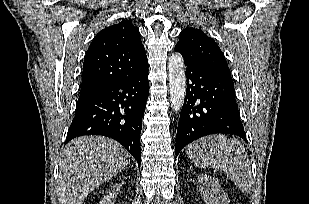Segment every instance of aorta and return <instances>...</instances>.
Masks as SVG:
<instances>
[{
  "label": "aorta",
  "mask_w": 309,
  "mask_h": 204,
  "mask_svg": "<svg viewBox=\"0 0 309 204\" xmlns=\"http://www.w3.org/2000/svg\"><path fill=\"white\" fill-rule=\"evenodd\" d=\"M168 79L170 87L171 108L174 112L181 110L186 96V76L183 57L173 53L168 60Z\"/></svg>",
  "instance_id": "obj_1"
}]
</instances>
